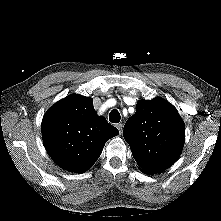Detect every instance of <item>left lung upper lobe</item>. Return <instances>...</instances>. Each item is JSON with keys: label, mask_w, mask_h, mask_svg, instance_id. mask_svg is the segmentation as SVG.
<instances>
[{"label": "left lung upper lobe", "mask_w": 221, "mask_h": 221, "mask_svg": "<svg viewBox=\"0 0 221 221\" xmlns=\"http://www.w3.org/2000/svg\"><path fill=\"white\" fill-rule=\"evenodd\" d=\"M139 169L155 174L169 168L182 152L185 126L176 109L163 98L138 101L136 113L124 126Z\"/></svg>", "instance_id": "left-lung-upper-lobe-1"}]
</instances>
